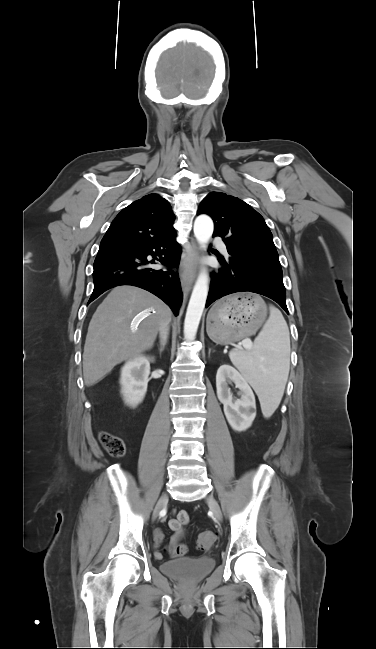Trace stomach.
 <instances>
[{
    "mask_svg": "<svg viewBox=\"0 0 376 649\" xmlns=\"http://www.w3.org/2000/svg\"><path fill=\"white\" fill-rule=\"evenodd\" d=\"M267 316L263 299L253 293L233 294L218 301L209 311L207 333L220 345L254 334Z\"/></svg>",
    "mask_w": 376,
    "mask_h": 649,
    "instance_id": "0dacf381",
    "label": "stomach"
}]
</instances>
